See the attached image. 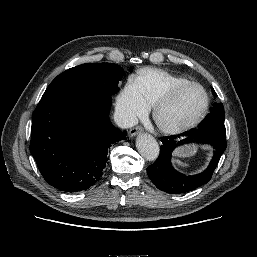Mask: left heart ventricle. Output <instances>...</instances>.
Here are the masks:
<instances>
[{
    "mask_svg": "<svg viewBox=\"0 0 257 257\" xmlns=\"http://www.w3.org/2000/svg\"><path fill=\"white\" fill-rule=\"evenodd\" d=\"M204 104V94L198 87L181 91L161 112V118L168 124H181L194 118Z\"/></svg>",
    "mask_w": 257,
    "mask_h": 257,
    "instance_id": "1",
    "label": "left heart ventricle"
}]
</instances>
